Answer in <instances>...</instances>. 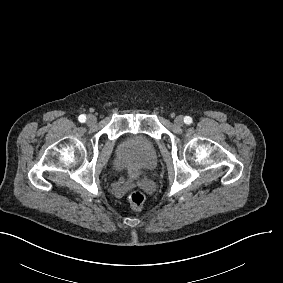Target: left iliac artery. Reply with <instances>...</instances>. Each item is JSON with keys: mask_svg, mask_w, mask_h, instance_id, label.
<instances>
[{"mask_svg": "<svg viewBox=\"0 0 283 283\" xmlns=\"http://www.w3.org/2000/svg\"><path fill=\"white\" fill-rule=\"evenodd\" d=\"M184 122H185L186 124H191V123H192V118H191L190 116H186V117L184 118Z\"/></svg>", "mask_w": 283, "mask_h": 283, "instance_id": "obj_1", "label": "left iliac artery"}]
</instances>
